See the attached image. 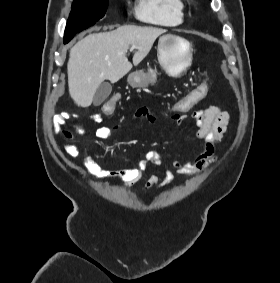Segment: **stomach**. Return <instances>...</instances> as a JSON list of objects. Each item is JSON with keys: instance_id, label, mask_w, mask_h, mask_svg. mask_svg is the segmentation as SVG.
Segmentation results:
<instances>
[{"instance_id": "1", "label": "stomach", "mask_w": 280, "mask_h": 283, "mask_svg": "<svg viewBox=\"0 0 280 283\" xmlns=\"http://www.w3.org/2000/svg\"><path fill=\"white\" fill-rule=\"evenodd\" d=\"M192 45L185 38L166 34L159 38L157 57L163 70L171 77H181L192 64ZM157 72L151 68L139 70L128 76V83L133 87H147L155 83Z\"/></svg>"}]
</instances>
